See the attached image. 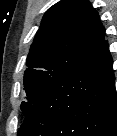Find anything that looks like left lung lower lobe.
Listing matches in <instances>:
<instances>
[{
	"instance_id": "1",
	"label": "left lung lower lobe",
	"mask_w": 117,
	"mask_h": 136,
	"mask_svg": "<svg viewBox=\"0 0 117 136\" xmlns=\"http://www.w3.org/2000/svg\"><path fill=\"white\" fill-rule=\"evenodd\" d=\"M107 41L34 104L18 136H117V96Z\"/></svg>"
}]
</instances>
